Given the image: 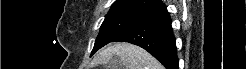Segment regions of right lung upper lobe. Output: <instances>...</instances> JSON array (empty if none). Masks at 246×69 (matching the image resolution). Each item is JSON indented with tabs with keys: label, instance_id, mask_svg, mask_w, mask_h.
Here are the masks:
<instances>
[{
	"label": "right lung upper lobe",
	"instance_id": "right-lung-upper-lobe-1",
	"mask_svg": "<svg viewBox=\"0 0 246 69\" xmlns=\"http://www.w3.org/2000/svg\"><path fill=\"white\" fill-rule=\"evenodd\" d=\"M163 5L161 0H116L106 18L134 15L142 16L146 12Z\"/></svg>",
	"mask_w": 246,
	"mask_h": 69
}]
</instances>
